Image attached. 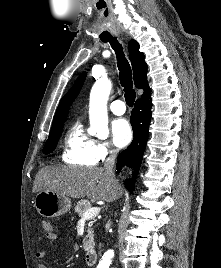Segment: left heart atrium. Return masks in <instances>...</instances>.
Here are the masks:
<instances>
[{
    "mask_svg": "<svg viewBox=\"0 0 221 268\" xmlns=\"http://www.w3.org/2000/svg\"><path fill=\"white\" fill-rule=\"evenodd\" d=\"M111 133L113 143L120 148L128 145L132 139L130 124L124 118L117 119L112 123Z\"/></svg>",
    "mask_w": 221,
    "mask_h": 268,
    "instance_id": "left-heart-atrium-1",
    "label": "left heart atrium"
}]
</instances>
